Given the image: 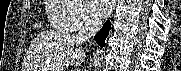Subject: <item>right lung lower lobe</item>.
Instances as JSON below:
<instances>
[{
  "mask_svg": "<svg viewBox=\"0 0 181 71\" xmlns=\"http://www.w3.org/2000/svg\"><path fill=\"white\" fill-rule=\"evenodd\" d=\"M111 28L110 21H107L102 29L95 35L94 40L97 42V44L101 47L105 46V39L109 34V30Z\"/></svg>",
  "mask_w": 181,
  "mask_h": 71,
  "instance_id": "right-lung-lower-lobe-1",
  "label": "right lung lower lobe"
}]
</instances>
